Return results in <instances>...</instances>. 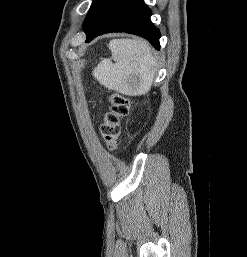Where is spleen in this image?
I'll list each match as a JSON object with an SVG mask.
<instances>
[{"label":"spleen","instance_id":"spleen-1","mask_svg":"<svg viewBox=\"0 0 247 257\" xmlns=\"http://www.w3.org/2000/svg\"><path fill=\"white\" fill-rule=\"evenodd\" d=\"M109 48L115 63L103 59L93 71L97 81L125 95L148 92L155 76V59L149 44L140 39H115Z\"/></svg>","mask_w":247,"mask_h":257}]
</instances>
